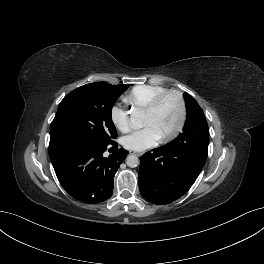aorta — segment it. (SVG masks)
<instances>
[{"label":"aorta","mask_w":264,"mask_h":264,"mask_svg":"<svg viewBox=\"0 0 264 264\" xmlns=\"http://www.w3.org/2000/svg\"><path fill=\"white\" fill-rule=\"evenodd\" d=\"M131 121L133 125L137 128H140L143 123V111L139 108H134L131 112ZM126 164L129 167H137L139 165V159L135 155H129L126 158Z\"/></svg>","instance_id":"762f6f07"}]
</instances>
